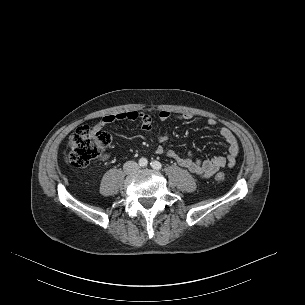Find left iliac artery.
<instances>
[{
  "instance_id": "obj_1",
  "label": "left iliac artery",
  "mask_w": 305,
  "mask_h": 305,
  "mask_svg": "<svg viewBox=\"0 0 305 305\" xmlns=\"http://www.w3.org/2000/svg\"><path fill=\"white\" fill-rule=\"evenodd\" d=\"M151 167L156 169V170H159L162 168V164L159 162V161H152L150 163Z\"/></svg>"
}]
</instances>
